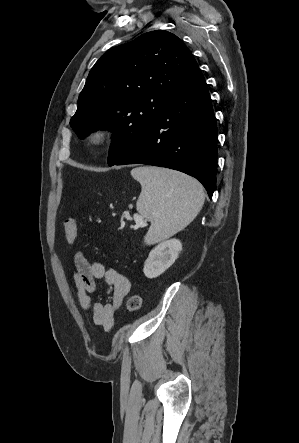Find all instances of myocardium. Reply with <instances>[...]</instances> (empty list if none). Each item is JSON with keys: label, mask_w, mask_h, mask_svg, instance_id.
Instances as JSON below:
<instances>
[{"label": "myocardium", "mask_w": 299, "mask_h": 443, "mask_svg": "<svg viewBox=\"0 0 299 443\" xmlns=\"http://www.w3.org/2000/svg\"><path fill=\"white\" fill-rule=\"evenodd\" d=\"M111 138V132L104 126H97L87 134V144L93 149L104 147Z\"/></svg>", "instance_id": "1"}]
</instances>
